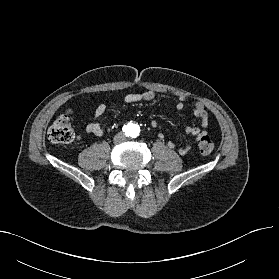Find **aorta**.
Wrapping results in <instances>:
<instances>
[{
	"instance_id": "1",
	"label": "aorta",
	"mask_w": 279,
	"mask_h": 279,
	"mask_svg": "<svg viewBox=\"0 0 279 279\" xmlns=\"http://www.w3.org/2000/svg\"><path fill=\"white\" fill-rule=\"evenodd\" d=\"M128 127L132 130L135 131L136 125L135 124H129Z\"/></svg>"
}]
</instances>
